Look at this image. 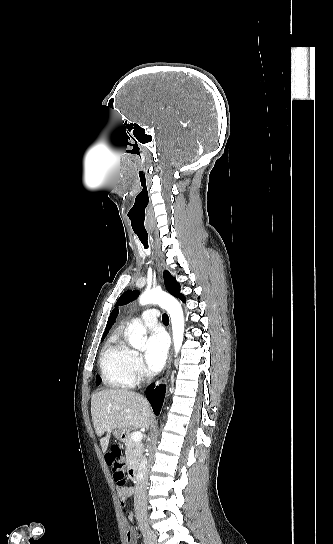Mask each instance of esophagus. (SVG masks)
Returning <instances> with one entry per match:
<instances>
[{
	"instance_id": "34e87169",
	"label": "esophagus",
	"mask_w": 333,
	"mask_h": 544,
	"mask_svg": "<svg viewBox=\"0 0 333 544\" xmlns=\"http://www.w3.org/2000/svg\"><path fill=\"white\" fill-rule=\"evenodd\" d=\"M157 267H158V272L161 275L162 274V264L160 263L159 260L157 261ZM171 361H172V352L170 353V355L168 357V360H167V363H166V366L164 368V371H163L162 375L155 382L156 386H159L161 383L166 381V379L168 378L169 373H170V368H171Z\"/></svg>"
}]
</instances>
